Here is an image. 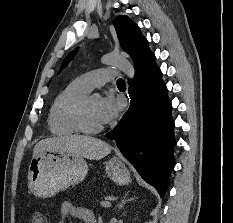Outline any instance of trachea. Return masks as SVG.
<instances>
[{
    "mask_svg": "<svg viewBox=\"0 0 233 223\" xmlns=\"http://www.w3.org/2000/svg\"><path fill=\"white\" fill-rule=\"evenodd\" d=\"M117 85H125V81L122 78L117 80Z\"/></svg>",
    "mask_w": 233,
    "mask_h": 223,
    "instance_id": "3493384b",
    "label": "trachea"
}]
</instances>
